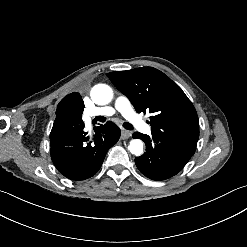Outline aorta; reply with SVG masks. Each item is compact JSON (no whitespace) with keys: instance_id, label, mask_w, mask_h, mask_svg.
<instances>
[{"instance_id":"obj_1","label":"aorta","mask_w":247,"mask_h":247,"mask_svg":"<svg viewBox=\"0 0 247 247\" xmlns=\"http://www.w3.org/2000/svg\"><path fill=\"white\" fill-rule=\"evenodd\" d=\"M113 98V91L110 86L106 84L95 85L91 90V99L98 105H106L111 102ZM129 151L140 156L143 153V142L140 139H133L128 146Z\"/></svg>"}]
</instances>
